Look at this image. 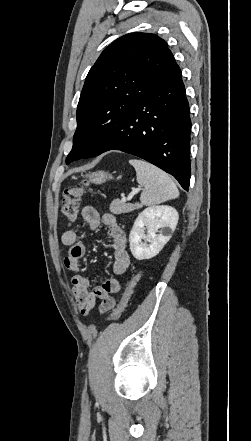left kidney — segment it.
Returning <instances> with one entry per match:
<instances>
[{"instance_id": "left-kidney-1", "label": "left kidney", "mask_w": 251, "mask_h": 441, "mask_svg": "<svg viewBox=\"0 0 251 441\" xmlns=\"http://www.w3.org/2000/svg\"><path fill=\"white\" fill-rule=\"evenodd\" d=\"M178 219V212L171 206L159 205L144 209L136 218L129 235L134 258L145 260L156 256L170 240Z\"/></svg>"}]
</instances>
